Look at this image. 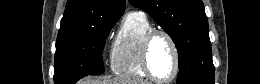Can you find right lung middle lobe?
<instances>
[{"label": "right lung middle lobe", "instance_id": "1", "mask_svg": "<svg viewBox=\"0 0 260 84\" xmlns=\"http://www.w3.org/2000/svg\"><path fill=\"white\" fill-rule=\"evenodd\" d=\"M116 22L100 21L89 26L84 35L57 39L55 84H74L86 75L104 72L102 51Z\"/></svg>", "mask_w": 260, "mask_h": 84}]
</instances>
